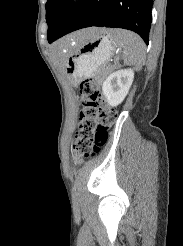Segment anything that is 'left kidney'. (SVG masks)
<instances>
[{"label":"left kidney","mask_w":183,"mask_h":246,"mask_svg":"<svg viewBox=\"0 0 183 246\" xmlns=\"http://www.w3.org/2000/svg\"><path fill=\"white\" fill-rule=\"evenodd\" d=\"M134 79L132 69H122L111 73L103 82L102 92L108 104L116 107L127 96Z\"/></svg>","instance_id":"left-kidney-1"}]
</instances>
